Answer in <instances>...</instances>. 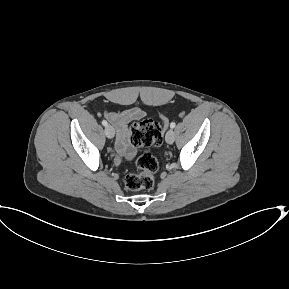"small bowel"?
Segmentation results:
<instances>
[{"mask_svg":"<svg viewBox=\"0 0 289 289\" xmlns=\"http://www.w3.org/2000/svg\"><path fill=\"white\" fill-rule=\"evenodd\" d=\"M145 116V112L134 107L120 112H106L105 117L115 126L117 131L116 151L125 157H132L135 149L129 144L130 129L129 124L133 121L140 120Z\"/></svg>","mask_w":289,"mask_h":289,"instance_id":"obj_1","label":"small bowel"}]
</instances>
